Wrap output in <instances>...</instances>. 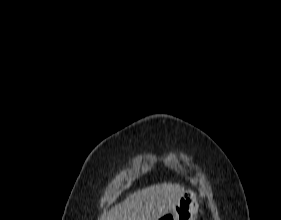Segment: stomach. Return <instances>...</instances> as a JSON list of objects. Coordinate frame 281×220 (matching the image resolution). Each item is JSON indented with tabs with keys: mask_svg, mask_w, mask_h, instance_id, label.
<instances>
[{
	"mask_svg": "<svg viewBox=\"0 0 281 220\" xmlns=\"http://www.w3.org/2000/svg\"><path fill=\"white\" fill-rule=\"evenodd\" d=\"M198 202L196 194L192 191H185L179 201L172 209L171 214L161 217V220H195L198 213Z\"/></svg>",
	"mask_w": 281,
	"mask_h": 220,
	"instance_id": "stomach-1",
	"label": "stomach"
}]
</instances>
